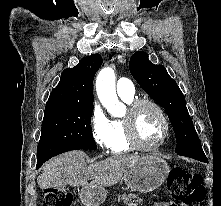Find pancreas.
<instances>
[{
  "label": "pancreas",
  "instance_id": "pancreas-1",
  "mask_svg": "<svg viewBox=\"0 0 221 206\" xmlns=\"http://www.w3.org/2000/svg\"><path fill=\"white\" fill-rule=\"evenodd\" d=\"M133 198H136L137 200H136V202L131 203V206H138L139 204L142 203V199L132 193H130L128 195H126V194L119 195L118 201H123L124 203H127V202L131 201Z\"/></svg>",
  "mask_w": 221,
  "mask_h": 206
}]
</instances>
